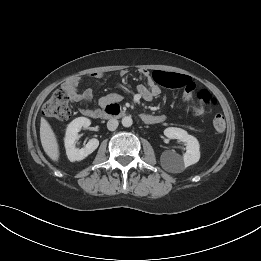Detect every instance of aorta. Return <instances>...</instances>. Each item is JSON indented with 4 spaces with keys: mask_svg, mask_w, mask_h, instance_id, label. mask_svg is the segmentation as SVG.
Masks as SVG:
<instances>
[{
    "mask_svg": "<svg viewBox=\"0 0 261 261\" xmlns=\"http://www.w3.org/2000/svg\"><path fill=\"white\" fill-rule=\"evenodd\" d=\"M121 122L124 127H130L133 124V120L130 116L123 117Z\"/></svg>",
    "mask_w": 261,
    "mask_h": 261,
    "instance_id": "762f6f07",
    "label": "aorta"
}]
</instances>
